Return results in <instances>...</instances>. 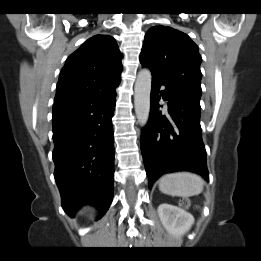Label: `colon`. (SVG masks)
<instances>
[{
  "mask_svg": "<svg viewBox=\"0 0 261 261\" xmlns=\"http://www.w3.org/2000/svg\"><path fill=\"white\" fill-rule=\"evenodd\" d=\"M188 204V202L185 200L183 201V205L186 206Z\"/></svg>",
  "mask_w": 261,
  "mask_h": 261,
  "instance_id": "colon-1",
  "label": "colon"
}]
</instances>
